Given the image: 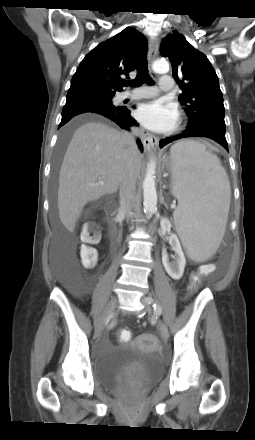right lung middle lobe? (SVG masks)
<instances>
[{
    "instance_id": "dd1d6c3e",
    "label": "right lung middle lobe",
    "mask_w": 255,
    "mask_h": 440,
    "mask_svg": "<svg viewBox=\"0 0 255 440\" xmlns=\"http://www.w3.org/2000/svg\"><path fill=\"white\" fill-rule=\"evenodd\" d=\"M114 95L115 94H99V95H94L93 97L111 100L114 97ZM66 134H67V132H64L63 138H62V141H61V146H63L65 144V136H66Z\"/></svg>"
}]
</instances>
